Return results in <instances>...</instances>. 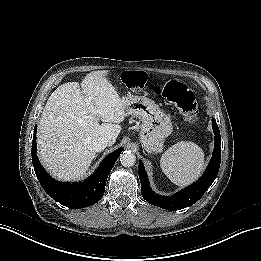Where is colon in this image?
Wrapping results in <instances>:
<instances>
[{
	"mask_svg": "<svg viewBox=\"0 0 261 261\" xmlns=\"http://www.w3.org/2000/svg\"><path fill=\"white\" fill-rule=\"evenodd\" d=\"M127 82L133 89L146 90L161 95L175 105L188 119H196L195 95L184 83L170 80L165 84H155L151 76L143 71L128 73Z\"/></svg>",
	"mask_w": 261,
	"mask_h": 261,
	"instance_id": "5ec220e1",
	"label": "colon"
}]
</instances>
